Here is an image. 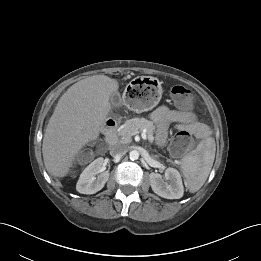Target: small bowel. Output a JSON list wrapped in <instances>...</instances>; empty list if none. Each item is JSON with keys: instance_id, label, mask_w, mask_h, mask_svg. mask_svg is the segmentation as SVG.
<instances>
[{"instance_id": "c3829d8e", "label": "small bowel", "mask_w": 261, "mask_h": 261, "mask_svg": "<svg viewBox=\"0 0 261 261\" xmlns=\"http://www.w3.org/2000/svg\"><path fill=\"white\" fill-rule=\"evenodd\" d=\"M151 119L157 126L156 140L160 145L166 143L171 124H175L178 130L190 131L198 138H205L210 133L208 126L197 121L195 114L189 111L161 106L152 113Z\"/></svg>"}]
</instances>
